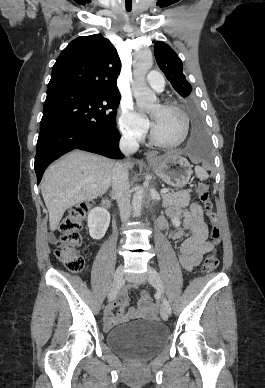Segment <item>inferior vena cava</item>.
Returning a JSON list of instances; mask_svg holds the SVG:
<instances>
[{"instance_id": "inferior-vena-cava-1", "label": "inferior vena cava", "mask_w": 265, "mask_h": 388, "mask_svg": "<svg viewBox=\"0 0 265 388\" xmlns=\"http://www.w3.org/2000/svg\"><path fill=\"white\" fill-rule=\"evenodd\" d=\"M119 148L122 154L125 156H130L139 150V144L134 138V136H128V134H123L120 142ZM112 190L113 196L117 200V204L120 210V218L122 222H127L130 218L131 208H130V186H129V176H128V166L127 164H116L112 172Z\"/></svg>"}]
</instances>
